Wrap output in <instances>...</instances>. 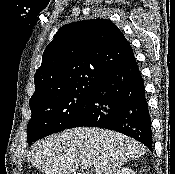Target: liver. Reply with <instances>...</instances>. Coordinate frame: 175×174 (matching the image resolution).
I'll use <instances>...</instances> for the list:
<instances>
[{
  "instance_id": "1",
  "label": "liver",
  "mask_w": 175,
  "mask_h": 174,
  "mask_svg": "<svg viewBox=\"0 0 175 174\" xmlns=\"http://www.w3.org/2000/svg\"><path fill=\"white\" fill-rule=\"evenodd\" d=\"M145 152L143 144L122 133L81 127L35 143L27 160L45 174H71L79 168L87 170L93 166V174H113L117 168Z\"/></svg>"
}]
</instances>
